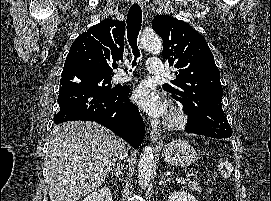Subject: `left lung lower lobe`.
Here are the masks:
<instances>
[{"mask_svg":"<svg viewBox=\"0 0 271 201\" xmlns=\"http://www.w3.org/2000/svg\"><path fill=\"white\" fill-rule=\"evenodd\" d=\"M185 131L188 132V133H195V134H201V131L199 129H196L194 127H185Z\"/></svg>","mask_w":271,"mask_h":201,"instance_id":"left-lung-lower-lobe-1","label":"left lung lower lobe"}]
</instances>
